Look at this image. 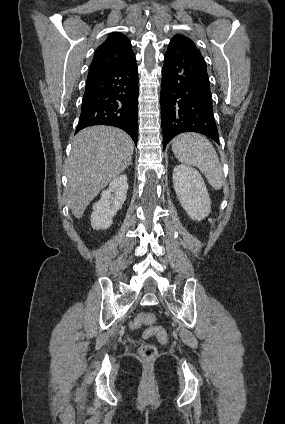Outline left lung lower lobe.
<instances>
[{"label":"left lung lower lobe","mask_w":285,"mask_h":424,"mask_svg":"<svg viewBox=\"0 0 285 424\" xmlns=\"http://www.w3.org/2000/svg\"><path fill=\"white\" fill-rule=\"evenodd\" d=\"M163 147L183 132L219 143L205 60L193 41L174 36L164 56L161 81Z\"/></svg>","instance_id":"0a47b994"}]
</instances>
